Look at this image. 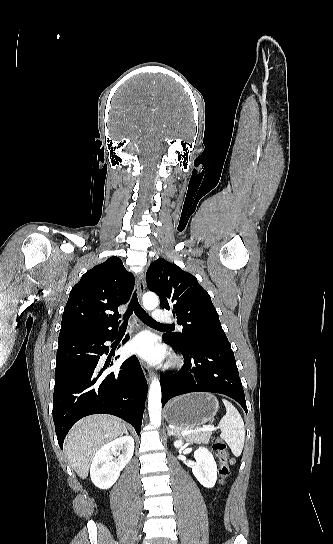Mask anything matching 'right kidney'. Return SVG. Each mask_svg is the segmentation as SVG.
<instances>
[{"label":"right kidney","mask_w":333,"mask_h":544,"mask_svg":"<svg viewBox=\"0 0 333 544\" xmlns=\"http://www.w3.org/2000/svg\"><path fill=\"white\" fill-rule=\"evenodd\" d=\"M133 453L134 439L128 435L102 446L96 452L90 467L94 485L100 489H109L118 479L121 470L129 463ZM112 455H117L118 459L113 461Z\"/></svg>","instance_id":"right-kidney-1"}]
</instances>
